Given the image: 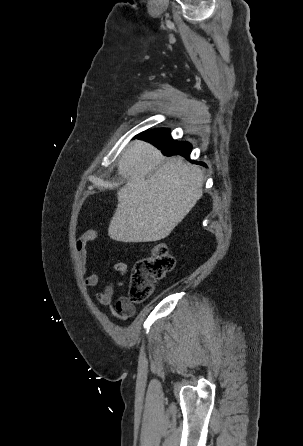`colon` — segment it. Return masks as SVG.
Wrapping results in <instances>:
<instances>
[{"mask_svg": "<svg viewBox=\"0 0 303 446\" xmlns=\"http://www.w3.org/2000/svg\"><path fill=\"white\" fill-rule=\"evenodd\" d=\"M175 266V259L165 244L156 243L149 256L134 263L129 275L128 302L140 304L154 291V284L164 278Z\"/></svg>", "mask_w": 303, "mask_h": 446, "instance_id": "colon-1", "label": "colon"}]
</instances>
